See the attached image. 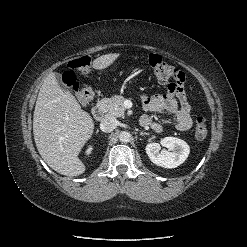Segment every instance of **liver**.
<instances>
[{
  "mask_svg": "<svg viewBox=\"0 0 247 247\" xmlns=\"http://www.w3.org/2000/svg\"><path fill=\"white\" fill-rule=\"evenodd\" d=\"M119 56L102 55L92 62V67L105 69ZM93 131L90 114L81 109L74 96L61 89L55 73L49 74L40 88L33 115L34 140L43 160L62 175L83 174L85 165L78 155Z\"/></svg>",
  "mask_w": 247,
  "mask_h": 247,
  "instance_id": "6515ba94",
  "label": "liver"
}]
</instances>
